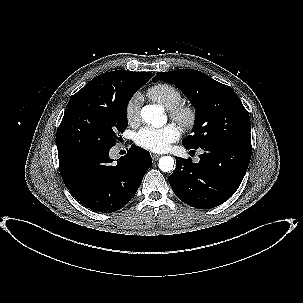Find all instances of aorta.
<instances>
[{"label":"aorta","instance_id":"1","mask_svg":"<svg viewBox=\"0 0 303 303\" xmlns=\"http://www.w3.org/2000/svg\"><path fill=\"white\" fill-rule=\"evenodd\" d=\"M143 121L154 127H160L165 123L162 107L158 105H146L141 110ZM159 168L163 172H170L175 168L174 159L171 156H163L159 160Z\"/></svg>","mask_w":303,"mask_h":303}]
</instances>
